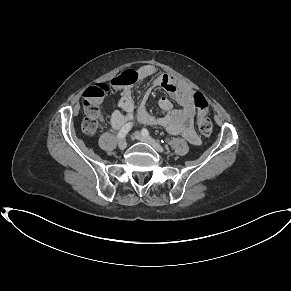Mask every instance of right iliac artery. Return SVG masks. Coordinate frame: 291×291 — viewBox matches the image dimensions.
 I'll return each mask as SVG.
<instances>
[{
    "label": "right iliac artery",
    "mask_w": 291,
    "mask_h": 291,
    "mask_svg": "<svg viewBox=\"0 0 291 291\" xmlns=\"http://www.w3.org/2000/svg\"><path fill=\"white\" fill-rule=\"evenodd\" d=\"M132 126H133V123H126L121 129H120V131H119V133H118V135H117V137H118V140H120V139H123L126 135H127V133L131 130V128H132Z\"/></svg>",
    "instance_id": "right-iliac-artery-1"
}]
</instances>
